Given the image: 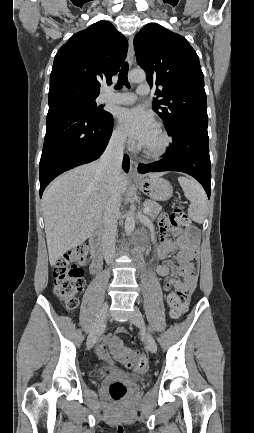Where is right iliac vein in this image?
I'll use <instances>...</instances> for the list:
<instances>
[{
	"mask_svg": "<svg viewBox=\"0 0 254 433\" xmlns=\"http://www.w3.org/2000/svg\"><path fill=\"white\" fill-rule=\"evenodd\" d=\"M107 312H108V304L105 303L96 320V323L94 324L92 330L90 331L88 338H87V348L90 349L94 346V344L96 343L97 337L102 329V325L104 324L106 317H107Z\"/></svg>",
	"mask_w": 254,
	"mask_h": 433,
	"instance_id": "63e3f726",
	"label": "right iliac vein"
}]
</instances>
